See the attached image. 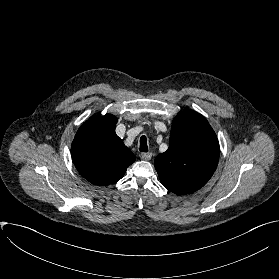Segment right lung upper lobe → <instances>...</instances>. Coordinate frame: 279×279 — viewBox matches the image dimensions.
Returning a JSON list of instances; mask_svg holds the SVG:
<instances>
[{
	"label": "right lung upper lobe",
	"mask_w": 279,
	"mask_h": 279,
	"mask_svg": "<svg viewBox=\"0 0 279 279\" xmlns=\"http://www.w3.org/2000/svg\"><path fill=\"white\" fill-rule=\"evenodd\" d=\"M117 118L112 114L87 120L72 143V157L79 173L94 185H109L120 180L134 154L115 133Z\"/></svg>",
	"instance_id": "cb5924a9"
}]
</instances>
